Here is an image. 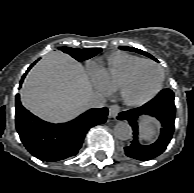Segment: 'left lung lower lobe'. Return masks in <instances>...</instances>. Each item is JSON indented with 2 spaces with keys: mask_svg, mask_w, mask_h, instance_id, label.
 Listing matches in <instances>:
<instances>
[{
  "mask_svg": "<svg viewBox=\"0 0 194 193\" xmlns=\"http://www.w3.org/2000/svg\"><path fill=\"white\" fill-rule=\"evenodd\" d=\"M141 115H149L157 118L162 129L158 140L151 145H141L138 141V118ZM119 120H127L133 129V141L124 147L126 156L147 161L159 156L168 146L173 132L175 121L174 93L170 89L162 90L154 99L141 107L119 113Z\"/></svg>",
  "mask_w": 194,
  "mask_h": 193,
  "instance_id": "left-lung-lower-lobe-1",
  "label": "left lung lower lobe"
}]
</instances>
